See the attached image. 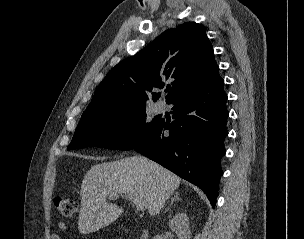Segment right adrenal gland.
I'll return each instance as SVG.
<instances>
[{
	"label": "right adrenal gland",
	"instance_id": "2a0ac1e0",
	"mask_svg": "<svg viewBox=\"0 0 304 239\" xmlns=\"http://www.w3.org/2000/svg\"><path fill=\"white\" fill-rule=\"evenodd\" d=\"M175 200H181V198L179 197V194H178L177 192L174 194V197L171 199L170 205L173 204V202H174Z\"/></svg>",
	"mask_w": 304,
	"mask_h": 239
}]
</instances>
